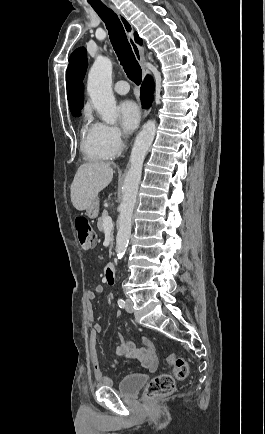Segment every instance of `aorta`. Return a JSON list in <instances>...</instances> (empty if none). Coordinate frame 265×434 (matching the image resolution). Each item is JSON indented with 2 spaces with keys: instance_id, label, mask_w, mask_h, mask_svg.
<instances>
[{
  "instance_id": "obj_1",
  "label": "aorta",
  "mask_w": 265,
  "mask_h": 434,
  "mask_svg": "<svg viewBox=\"0 0 265 434\" xmlns=\"http://www.w3.org/2000/svg\"><path fill=\"white\" fill-rule=\"evenodd\" d=\"M87 92L101 120L114 126L118 118L115 98L112 92V62L105 56H97L88 74ZM156 122L149 120L136 136L130 156V168L122 188V202L117 220L116 254L123 258L129 244L132 228V214L136 204L138 186L141 180L145 156L155 138Z\"/></svg>"
}]
</instances>
